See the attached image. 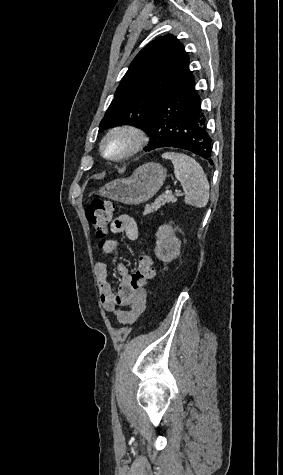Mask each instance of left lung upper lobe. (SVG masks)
Masks as SVG:
<instances>
[{"label":"left lung upper lobe","mask_w":283,"mask_h":475,"mask_svg":"<svg viewBox=\"0 0 283 475\" xmlns=\"http://www.w3.org/2000/svg\"><path fill=\"white\" fill-rule=\"evenodd\" d=\"M189 57L173 35L160 36L132 61L116 90L99 131L121 124L144 130L156 105L178 83L192 74Z\"/></svg>","instance_id":"left-lung-upper-lobe-1"}]
</instances>
